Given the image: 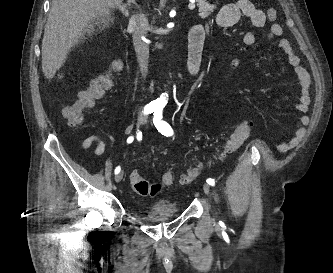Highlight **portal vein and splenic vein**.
<instances>
[{
    "instance_id": "portal-vein-and-splenic-vein-1",
    "label": "portal vein and splenic vein",
    "mask_w": 333,
    "mask_h": 273,
    "mask_svg": "<svg viewBox=\"0 0 333 273\" xmlns=\"http://www.w3.org/2000/svg\"><path fill=\"white\" fill-rule=\"evenodd\" d=\"M194 8H195V4H192V3L189 4V9H190V10H193Z\"/></svg>"
}]
</instances>
